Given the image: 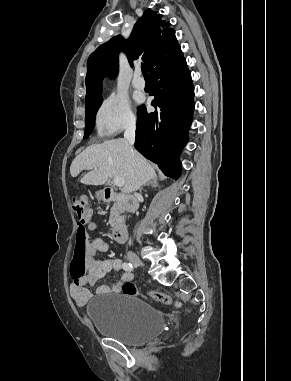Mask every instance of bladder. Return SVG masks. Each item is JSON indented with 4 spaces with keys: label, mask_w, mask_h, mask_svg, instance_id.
<instances>
[{
    "label": "bladder",
    "mask_w": 291,
    "mask_h": 381,
    "mask_svg": "<svg viewBox=\"0 0 291 381\" xmlns=\"http://www.w3.org/2000/svg\"><path fill=\"white\" fill-rule=\"evenodd\" d=\"M87 315L98 333L128 345L147 343L165 328L162 314L133 295H96L88 301Z\"/></svg>",
    "instance_id": "31cf9c89"
}]
</instances>
